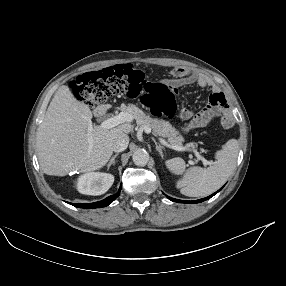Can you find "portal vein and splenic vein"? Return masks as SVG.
<instances>
[{
    "mask_svg": "<svg viewBox=\"0 0 286 286\" xmlns=\"http://www.w3.org/2000/svg\"><path fill=\"white\" fill-rule=\"evenodd\" d=\"M133 119V117L126 113V112H120L119 114L115 115V116H112L106 120H104L101 124H100V127L103 128V129H111V128H114L116 126H118L119 124H122V123H125V122H131ZM144 131L146 133H151L152 132V129L148 126H145L144 127ZM159 141L171 148V149H174V150H177V151H185V150H189V151H193L195 156L201 160L204 164V166H207V165H210L211 163L209 161H207L204 157H202L199 152L195 149H190L188 147H184V146H180V145H173V144H169L166 140H164L163 138L161 137H158Z\"/></svg>",
    "mask_w": 286,
    "mask_h": 286,
    "instance_id": "18ae733b",
    "label": "portal vein and splenic vein"
}]
</instances>
